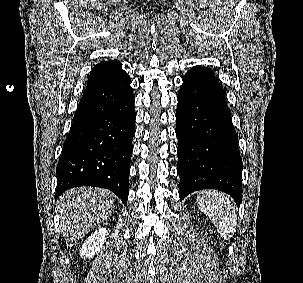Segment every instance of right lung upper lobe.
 I'll use <instances>...</instances> for the list:
<instances>
[{"instance_id":"right-lung-upper-lobe-1","label":"right lung upper lobe","mask_w":303,"mask_h":283,"mask_svg":"<svg viewBox=\"0 0 303 283\" xmlns=\"http://www.w3.org/2000/svg\"><path fill=\"white\" fill-rule=\"evenodd\" d=\"M121 67L122 64L117 61L109 60L98 63L90 73L86 88L107 82L125 73Z\"/></svg>"}]
</instances>
